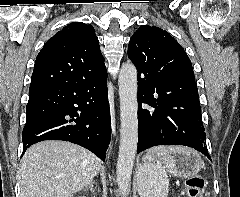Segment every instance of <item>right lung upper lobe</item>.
<instances>
[{
    "label": "right lung upper lobe",
    "instance_id": "right-lung-upper-lobe-1",
    "mask_svg": "<svg viewBox=\"0 0 240 197\" xmlns=\"http://www.w3.org/2000/svg\"><path fill=\"white\" fill-rule=\"evenodd\" d=\"M93 26L73 22L57 32L36 57L30 88L57 81L79 82L106 73Z\"/></svg>",
    "mask_w": 240,
    "mask_h": 197
}]
</instances>
